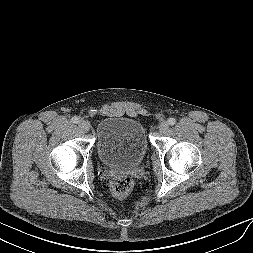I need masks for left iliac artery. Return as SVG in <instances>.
Listing matches in <instances>:
<instances>
[{
	"label": "left iliac artery",
	"mask_w": 253,
	"mask_h": 253,
	"mask_svg": "<svg viewBox=\"0 0 253 253\" xmlns=\"http://www.w3.org/2000/svg\"><path fill=\"white\" fill-rule=\"evenodd\" d=\"M176 123V120L174 118H169L168 119V124L169 125H174Z\"/></svg>",
	"instance_id": "left-iliac-artery-1"
}]
</instances>
